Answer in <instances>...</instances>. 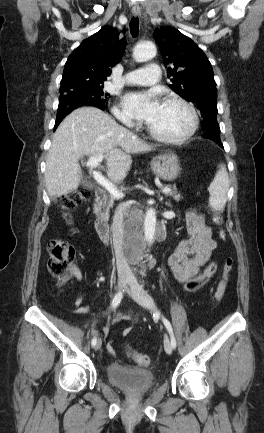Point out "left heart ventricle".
Wrapping results in <instances>:
<instances>
[{
	"label": "left heart ventricle",
	"instance_id": "b2bd125f",
	"mask_svg": "<svg viewBox=\"0 0 264 433\" xmlns=\"http://www.w3.org/2000/svg\"><path fill=\"white\" fill-rule=\"evenodd\" d=\"M190 121L188 111L182 106L175 103H162L149 125L161 135L178 137L188 130Z\"/></svg>",
	"mask_w": 264,
	"mask_h": 433
}]
</instances>
